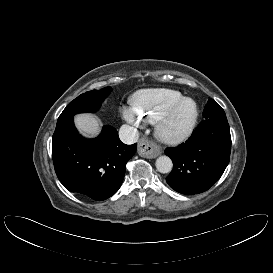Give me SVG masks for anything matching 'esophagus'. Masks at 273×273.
Instances as JSON below:
<instances>
[{"label":"esophagus","instance_id":"obj_1","mask_svg":"<svg viewBox=\"0 0 273 273\" xmlns=\"http://www.w3.org/2000/svg\"><path fill=\"white\" fill-rule=\"evenodd\" d=\"M137 151L145 158H156L162 153L161 147L151 144L146 138H141L138 142Z\"/></svg>","mask_w":273,"mask_h":273}]
</instances>
